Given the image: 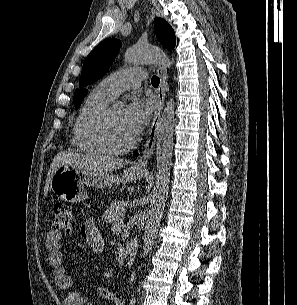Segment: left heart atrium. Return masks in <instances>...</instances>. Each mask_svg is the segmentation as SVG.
<instances>
[{
    "instance_id": "left-heart-atrium-1",
    "label": "left heart atrium",
    "mask_w": 297,
    "mask_h": 305,
    "mask_svg": "<svg viewBox=\"0 0 297 305\" xmlns=\"http://www.w3.org/2000/svg\"><path fill=\"white\" fill-rule=\"evenodd\" d=\"M154 111L152 100L135 96L123 112V122L133 138L145 128Z\"/></svg>"
}]
</instances>
